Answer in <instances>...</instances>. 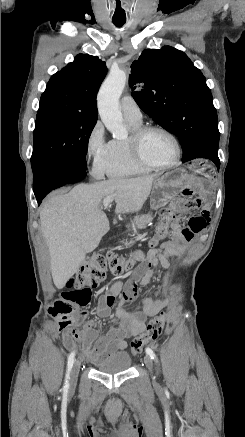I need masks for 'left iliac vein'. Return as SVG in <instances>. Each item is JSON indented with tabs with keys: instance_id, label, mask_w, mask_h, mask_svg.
<instances>
[{
	"instance_id": "4c4485c4",
	"label": "left iliac vein",
	"mask_w": 245,
	"mask_h": 437,
	"mask_svg": "<svg viewBox=\"0 0 245 437\" xmlns=\"http://www.w3.org/2000/svg\"><path fill=\"white\" fill-rule=\"evenodd\" d=\"M144 362H145V365L147 366V368L149 369V371L151 373L153 382L156 383L155 376L153 375V360L151 359V357L149 355H146L144 357Z\"/></svg>"
}]
</instances>
